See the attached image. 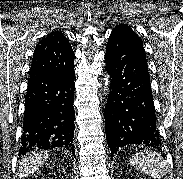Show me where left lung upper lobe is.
I'll list each match as a JSON object with an SVG mask.
<instances>
[{"mask_svg":"<svg viewBox=\"0 0 183 179\" xmlns=\"http://www.w3.org/2000/svg\"><path fill=\"white\" fill-rule=\"evenodd\" d=\"M115 30H119V31H122V32H128V33L135 34V32L130 28V26L125 25V24H120V25L116 26L113 31H115ZM135 35L138 37L137 34H135Z\"/></svg>","mask_w":183,"mask_h":179,"instance_id":"5c2ea615","label":"left lung upper lobe"}]
</instances>
